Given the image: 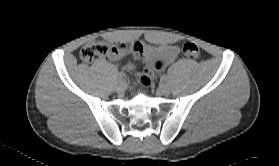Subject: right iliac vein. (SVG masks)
Masks as SVG:
<instances>
[{
    "label": "right iliac vein",
    "mask_w": 279,
    "mask_h": 166,
    "mask_svg": "<svg viewBox=\"0 0 279 166\" xmlns=\"http://www.w3.org/2000/svg\"><path fill=\"white\" fill-rule=\"evenodd\" d=\"M126 88V84L123 80H119L115 86L117 92H123Z\"/></svg>",
    "instance_id": "right-iliac-vein-1"
}]
</instances>
